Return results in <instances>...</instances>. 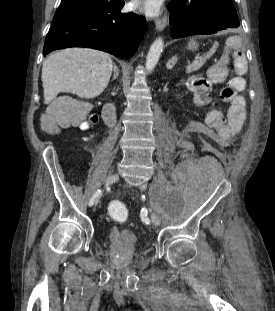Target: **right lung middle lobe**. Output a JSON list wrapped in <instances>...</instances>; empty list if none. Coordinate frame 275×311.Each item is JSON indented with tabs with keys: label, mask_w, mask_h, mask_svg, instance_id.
<instances>
[{
	"label": "right lung middle lobe",
	"mask_w": 275,
	"mask_h": 311,
	"mask_svg": "<svg viewBox=\"0 0 275 311\" xmlns=\"http://www.w3.org/2000/svg\"><path fill=\"white\" fill-rule=\"evenodd\" d=\"M112 3L108 0H64L58 7L54 20L74 13L105 8Z\"/></svg>",
	"instance_id": "dd1d6c3e"
}]
</instances>
